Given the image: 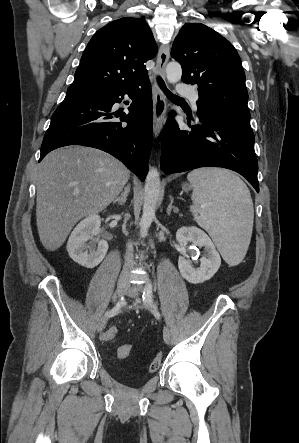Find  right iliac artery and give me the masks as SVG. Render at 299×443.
Masks as SVG:
<instances>
[{
    "instance_id": "82829eb1",
    "label": "right iliac artery",
    "mask_w": 299,
    "mask_h": 443,
    "mask_svg": "<svg viewBox=\"0 0 299 443\" xmlns=\"http://www.w3.org/2000/svg\"><path fill=\"white\" fill-rule=\"evenodd\" d=\"M123 304H124V297H121V299L114 306V308L109 310V311H107L105 315H107L108 317H112V316L118 314L120 309H121V307L123 306Z\"/></svg>"
}]
</instances>
